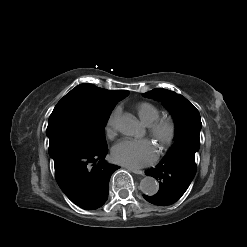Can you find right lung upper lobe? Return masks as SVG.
<instances>
[{"mask_svg": "<svg viewBox=\"0 0 247 247\" xmlns=\"http://www.w3.org/2000/svg\"><path fill=\"white\" fill-rule=\"evenodd\" d=\"M74 89L89 93L92 96L102 100L103 102H107V103L118 101V100L120 101L129 95V91L106 90V89L98 88L94 86L93 84H81L75 87Z\"/></svg>", "mask_w": 247, "mask_h": 247, "instance_id": "right-lung-upper-lobe-1", "label": "right lung upper lobe"}]
</instances>
